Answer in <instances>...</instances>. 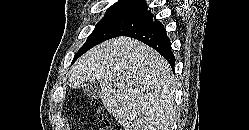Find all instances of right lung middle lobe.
<instances>
[{
  "label": "right lung middle lobe",
  "instance_id": "dd1d6c3e",
  "mask_svg": "<svg viewBox=\"0 0 249 130\" xmlns=\"http://www.w3.org/2000/svg\"><path fill=\"white\" fill-rule=\"evenodd\" d=\"M153 14L147 10L129 6H111L103 19L96 25L85 44L79 49L74 61L95 45L122 36L153 21Z\"/></svg>",
  "mask_w": 249,
  "mask_h": 130
}]
</instances>
